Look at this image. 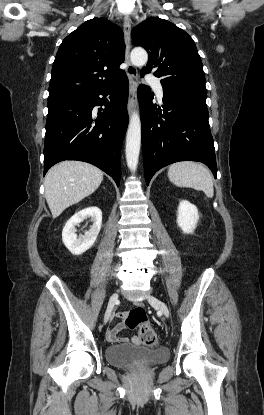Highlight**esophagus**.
<instances>
[{
	"mask_svg": "<svg viewBox=\"0 0 264 415\" xmlns=\"http://www.w3.org/2000/svg\"><path fill=\"white\" fill-rule=\"evenodd\" d=\"M123 32H124V40H125V62L127 64V75L129 78V98H128V112L131 113L135 104L137 102V76L138 71L134 65H132L130 61V50H131V20L128 15L124 17V24H123Z\"/></svg>",
	"mask_w": 264,
	"mask_h": 415,
	"instance_id": "obj_1",
	"label": "esophagus"
}]
</instances>
